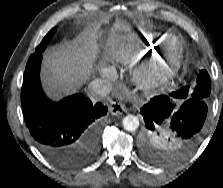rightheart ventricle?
Instances as JSON below:
<instances>
[{
  "mask_svg": "<svg viewBox=\"0 0 223 188\" xmlns=\"http://www.w3.org/2000/svg\"><path fill=\"white\" fill-rule=\"evenodd\" d=\"M165 37L166 33L159 31H148L144 33L140 40L141 46L135 51L123 55L120 59L121 62L130 64L143 54H153L159 49Z\"/></svg>",
  "mask_w": 223,
  "mask_h": 188,
  "instance_id": "1",
  "label": "right heart ventricle"
}]
</instances>
